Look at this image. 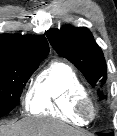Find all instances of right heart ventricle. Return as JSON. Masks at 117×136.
I'll return each mask as SVG.
<instances>
[{
	"mask_svg": "<svg viewBox=\"0 0 117 136\" xmlns=\"http://www.w3.org/2000/svg\"><path fill=\"white\" fill-rule=\"evenodd\" d=\"M87 96V89L74 68L66 62L54 61L31 83L25 108L33 115H48L84 125L86 121L76 114L75 108Z\"/></svg>",
	"mask_w": 117,
	"mask_h": 136,
	"instance_id": "obj_1",
	"label": "right heart ventricle"
}]
</instances>
